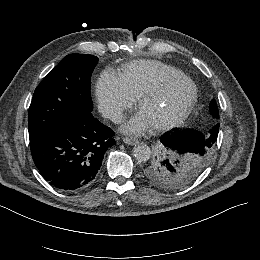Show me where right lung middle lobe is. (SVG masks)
Instances as JSON below:
<instances>
[{
	"instance_id": "1",
	"label": "right lung middle lobe",
	"mask_w": 260,
	"mask_h": 260,
	"mask_svg": "<svg viewBox=\"0 0 260 260\" xmlns=\"http://www.w3.org/2000/svg\"><path fill=\"white\" fill-rule=\"evenodd\" d=\"M98 58L69 54L37 86L28 114L30 143L91 113L90 77Z\"/></svg>"
}]
</instances>
